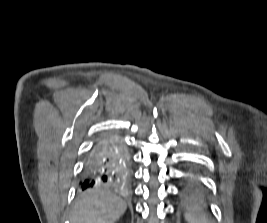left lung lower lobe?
Wrapping results in <instances>:
<instances>
[{
  "label": "left lung lower lobe",
  "mask_w": 267,
  "mask_h": 223,
  "mask_svg": "<svg viewBox=\"0 0 267 223\" xmlns=\"http://www.w3.org/2000/svg\"><path fill=\"white\" fill-rule=\"evenodd\" d=\"M183 176H190V171H183Z\"/></svg>",
  "instance_id": "1"
}]
</instances>
